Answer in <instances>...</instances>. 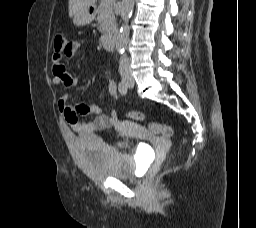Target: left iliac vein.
Instances as JSON below:
<instances>
[{
	"label": "left iliac vein",
	"mask_w": 256,
	"mask_h": 228,
	"mask_svg": "<svg viewBox=\"0 0 256 228\" xmlns=\"http://www.w3.org/2000/svg\"><path fill=\"white\" fill-rule=\"evenodd\" d=\"M127 85L129 88L134 86V80L131 77L128 78Z\"/></svg>",
	"instance_id": "obj_1"
}]
</instances>
